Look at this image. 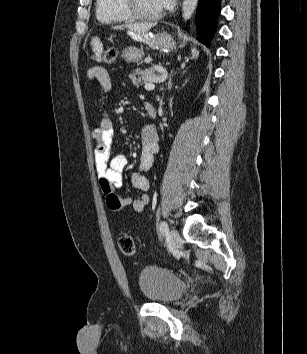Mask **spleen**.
Returning <instances> with one entry per match:
<instances>
[{
	"label": "spleen",
	"mask_w": 307,
	"mask_h": 354,
	"mask_svg": "<svg viewBox=\"0 0 307 354\" xmlns=\"http://www.w3.org/2000/svg\"><path fill=\"white\" fill-rule=\"evenodd\" d=\"M199 55L198 51L196 49H192V58H197Z\"/></svg>",
	"instance_id": "3e777b00"
}]
</instances>
